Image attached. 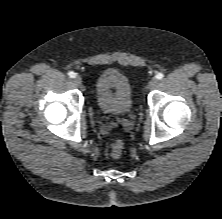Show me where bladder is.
Wrapping results in <instances>:
<instances>
[{"label":"bladder","instance_id":"31cf9c89","mask_svg":"<svg viewBox=\"0 0 222 219\" xmlns=\"http://www.w3.org/2000/svg\"><path fill=\"white\" fill-rule=\"evenodd\" d=\"M94 94L97 106L106 114L121 117L133 108L129 80L116 69H106L99 74Z\"/></svg>","mask_w":222,"mask_h":219}]
</instances>
